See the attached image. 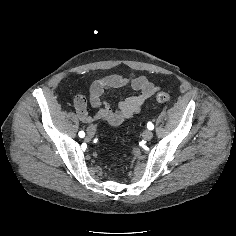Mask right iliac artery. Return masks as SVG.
<instances>
[{
	"label": "right iliac artery",
	"instance_id": "82829eb1",
	"mask_svg": "<svg viewBox=\"0 0 236 236\" xmlns=\"http://www.w3.org/2000/svg\"><path fill=\"white\" fill-rule=\"evenodd\" d=\"M78 135H79V137L83 138L85 136V133H84V131H80Z\"/></svg>",
	"mask_w": 236,
	"mask_h": 236
}]
</instances>
